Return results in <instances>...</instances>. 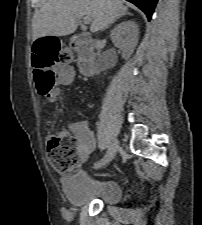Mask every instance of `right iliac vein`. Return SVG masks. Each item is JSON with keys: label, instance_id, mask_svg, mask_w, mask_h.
<instances>
[{"label": "right iliac vein", "instance_id": "right-iliac-vein-1", "mask_svg": "<svg viewBox=\"0 0 202 225\" xmlns=\"http://www.w3.org/2000/svg\"><path fill=\"white\" fill-rule=\"evenodd\" d=\"M118 148H119V142H118V140H114L110 144L109 149L107 151V154L105 155V157H106V164L109 163L110 161H112V159L114 158Z\"/></svg>", "mask_w": 202, "mask_h": 225}]
</instances>
